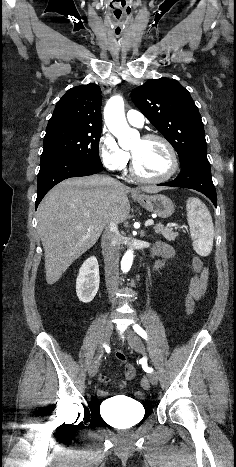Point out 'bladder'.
I'll return each instance as SVG.
<instances>
[{
    "label": "bladder",
    "instance_id": "1",
    "mask_svg": "<svg viewBox=\"0 0 236 467\" xmlns=\"http://www.w3.org/2000/svg\"><path fill=\"white\" fill-rule=\"evenodd\" d=\"M141 402L128 397H115L102 402L99 411L115 428L126 429L138 424L145 415Z\"/></svg>",
    "mask_w": 236,
    "mask_h": 467
}]
</instances>
